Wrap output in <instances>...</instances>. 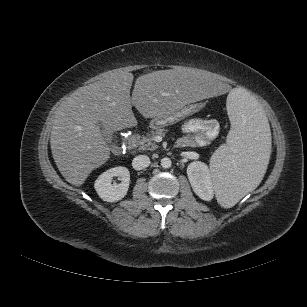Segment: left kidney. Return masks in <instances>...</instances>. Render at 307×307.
I'll use <instances>...</instances> for the list:
<instances>
[{"label": "left kidney", "mask_w": 307, "mask_h": 307, "mask_svg": "<svg viewBox=\"0 0 307 307\" xmlns=\"http://www.w3.org/2000/svg\"><path fill=\"white\" fill-rule=\"evenodd\" d=\"M187 176L195 194L202 200L210 201L214 196L212 176L208 166L194 161L187 167Z\"/></svg>", "instance_id": "1"}]
</instances>
